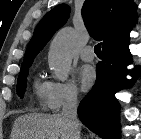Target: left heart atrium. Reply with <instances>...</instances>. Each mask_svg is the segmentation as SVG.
Returning <instances> with one entry per match:
<instances>
[{"instance_id":"obj_1","label":"left heart atrium","mask_w":141,"mask_h":139,"mask_svg":"<svg viewBox=\"0 0 141 139\" xmlns=\"http://www.w3.org/2000/svg\"><path fill=\"white\" fill-rule=\"evenodd\" d=\"M78 79L84 91L89 90L96 81V72L91 66H83L78 71Z\"/></svg>"}]
</instances>
